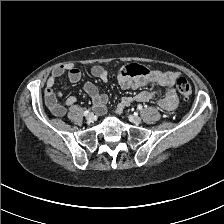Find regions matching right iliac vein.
Masks as SVG:
<instances>
[{
    "mask_svg": "<svg viewBox=\"0 0 224 224\" xmlns=\"http://www.w3.org/2000/svg\"><path fill=\"white\" fill-rule=\"evenodd\" d=\"M86 120L87 122H92L93 121V114H89L87 117H86Z\"/></svg>",
    "mask_w": 224,
    "mask_h": 224,
    "instance_id": "1",
    "label": "right iliac vein"
}]
</instances>
